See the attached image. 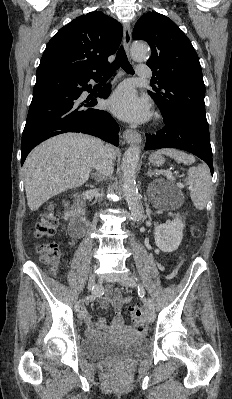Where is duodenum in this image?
Here are the masks:
<instances>
[{"label":"duodenum","mask_w":232,"mask_h":399,"mask_svg":"<svg viewBox=\"0 0 232 399\" xmlns=\"http://www.w3.org/2000/svg\"><path fill=\"white\" fill-rule=\"evenodd\" d=\"M88 221L82 209L80 197L77 195L71 210V219L69 223V234L74 238L83 236L87 230Z\"/></svg>","instance_id":"410a0bca"}]
</instances>
